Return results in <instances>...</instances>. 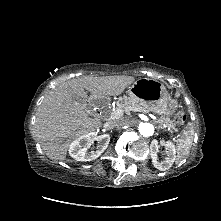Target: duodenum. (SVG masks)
I'll return each instance as SVG.
<instances>
[{"label":"duodenum","instance_id":"1","mask_svg":"<svg viewBox=\"0 0 221 221\" xmlns=\"http://www.w3.org/2000/svg\"><path fill=\"white\" fill-rule=\"evenodd\" d=\"M102 98H103V97L101 96L100 99H102ZM95 102H100V100L97 99V98H91L90 103L93 104V103H95Z\"/></svg>","mask_w":221,"mask_h":221}]
</instances>
